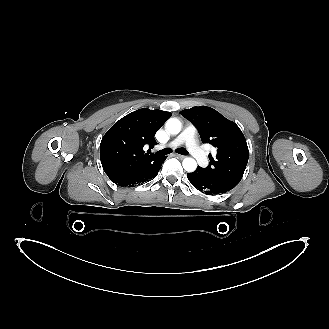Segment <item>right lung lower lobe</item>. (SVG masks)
<instances>
[{"label": "right lung lower lobe", "mask_w": 329, "mask_h": 329, "mask_svg": "<svg viewBox=\"0 0 329 329\" xmlns=\"http://www.w3.org/2000/svg\"><path fill=\"white\" fill-rule=\"evenodd\" d=\"M166 159V157H161L158 160H156L153 164L145 168L143 171L138 173L137 175L116 183L117 185L121 187H134L136 185L143 184L144 182H147L154 178L157 174L159 169L161 168V165L163 161Z\"/></svg>", "instance_id": "98d812e1"}]
</instances>
